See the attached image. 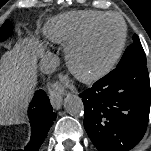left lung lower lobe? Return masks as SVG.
Masks as SVG:
<instances>
[{
	"label": "left lung lower lobe",
	"instance_id": "left-lung-lower-lobe-1",
	"mask_svg": "<svg viewBox=\"0 0 151 151\" xmlns=\"http://www.w3.org/2000/svg\"><path fill=\"white\" fill-rule=\"evenodd\" d=\"M79 96L84 127L99 151L129 150L144 136L151 100L146 63L118 67Z\"/></svg>",
	"mask_w": 151,
	"mask_h": 151
}]
</instances>
